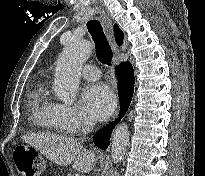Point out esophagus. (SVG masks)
<instances>
[{
    "label": "esophagus",
    "mask_w": 205,
    "mask_h": 176,
    "mask_svg": "<svg viewBox=\"0 0 205 176\" xmlns=\"http://www.w3.org/2000/svg\"><path fill=\"white\" fill-rule=\"evenodd\" d=\"M101 16H102V22L105 26V28L107 29V33H108V37H109V40L111 42V44H114V40L112 38V33H111V30H112V21L111 19L105 14L104 11H101ZM116 51V49H115ZM118 115V110L116 111L113 119H115Z\"/></svg>",
    "instance_id": "obj_1"
}]
</instances>
